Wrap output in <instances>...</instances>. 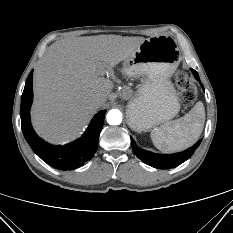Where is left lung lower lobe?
I'll return each instance as SVG.
<instances>
[{
  "label": "left lung lower lobe",
  "mask_w": 233,
  "mask_h": 233,
  "mask_svg": "<svg viewBox=\"0 0 233 233\" xmlns=\"http://www.w3.org/2000/svg\"><path fill=\"white\" fill-rule=\"evenodd\" d=\"M191 71L193 72L195 78L200 82L198 73L194 69H191ZM201 141L202 140H199L194 146L190 147L189 149L183 152L170 154V155H161L140 149L135 144V141L131 137L132 149L134 153L137 155V157L140 160H142L144 163L157 169L174 168L180 165L181 163L185 162L187 159H189L192 156V154L195 152L197 147L200 145Z\"/></svg>",
  "instance_id": "0a47b994"
}]
</instances>
